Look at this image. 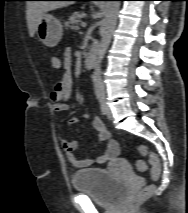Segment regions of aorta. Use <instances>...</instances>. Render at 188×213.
Masks as SVG:
<instances>
[{"label":"aorta","mask_w":188,"mask_h":213,"mask_svg":"<svg viewBox=\"0 0 188 213\" xmlns=\"http://www.w3.org/2000/svg\"><path fill=\"white\" fill-rule=\"evenodd\" d=\"M119 8V1H108L105 6L104 29L92 75L94 91L96 96L99 98L105 96L104 84L101 76V62L111 42L112 34L117 22Z\"/></svg>","instance_id":"762f6f07"}]
</instances>
